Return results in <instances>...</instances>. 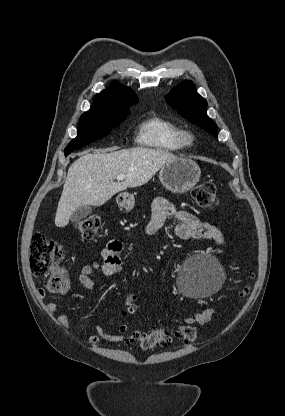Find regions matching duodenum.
Segmentation results:
<instances>
[{
    "instance_id": "obj_1",
    "label": "duodenum",
    "mask_w": 285,
    "mask_h": 416,
    "mask_svg": "<svg viewBox=\"0 0 285 416\" xmlns=\"http://www.w3.org/2000/svg\"><path fill=\"white\" fill-rule=\"evenodd\" d=\"M130 200L129 193H120L118 203L120 205H125Z\"/></svg>"
}]
</instances>
